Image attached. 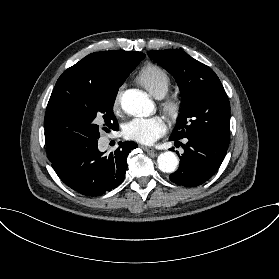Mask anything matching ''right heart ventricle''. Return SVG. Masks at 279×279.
<instances>
[{
    "label": "right heart ventricle",
    "mask_w": 279,
    "mask_h": 279,
    "mask_svg": "<svg viewBox=\"0 0 279 279\" xmlns=\"http://www.w3.org/2000/svg\"><path fill=\"white\" fill-rule=\"evenodd\" d=\"M139 82L155 97H163L169 90L171 78L169 73L160 65L148 63L138 73Z\"/></svg>",
    "instance_id": "right-heart-ventricle-1"
}]
</instances>
